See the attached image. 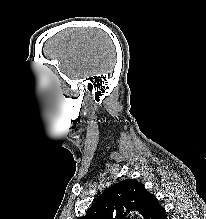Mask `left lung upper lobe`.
I'll return each instance as SVG.
<instances>
[{"label":"left lung upper lobe","instance_id":"5c2ea615","mask_svg":"<svg viewBox=\"0 0 206 219\" xmlns=\"http://www.w3.org/2000/svg\"><path fill=\"white\" fill-rule=\"evenodd\" d=\"M153 197L140 182L126 179L106 189L78 219H124L134 209L146 219Z\"/></svg>","mask_w":206,"mask_h":219}]
</instances>
